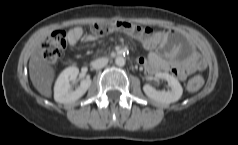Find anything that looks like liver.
Returning a JSON list of instances; mask_svg holds the SVG:
<instances>
[{"instance_id":"6515ba94","label":"liver","mask_w":238,"mask_h":145,"mask_svg":"<svg viewBox=\"0 0 238 145\" xmlns=\"http://www.w3.org/2000/svg\"><path fill=\"white\" fill-rule=\"evenodd\" d=\"M29 74L33 86L37 91L50 98L55 71L43 56L41 45L35 46L29 60Z\"/></svg>"}]
</instances>
